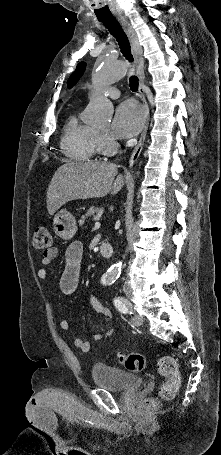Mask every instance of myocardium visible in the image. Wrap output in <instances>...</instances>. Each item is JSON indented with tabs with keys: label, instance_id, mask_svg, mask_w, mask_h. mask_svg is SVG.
<instances>
[{
	"label": "myocardium",
	"instance_id": "obj_1",
	"mask_svg": "<svg viewBox=\"0 0 221 455\" xmlns=\"http://www.w3.org/2000/svg\"><path fill=\"white\" fill-rule=\"evenodd\" d=\"M96 146L97 150L103 154H111L116 151L117 143L107 134L96 130Z\"/></svg>",
	"mask_w": 221,
	"mask_h": 455
}]
</instances>
